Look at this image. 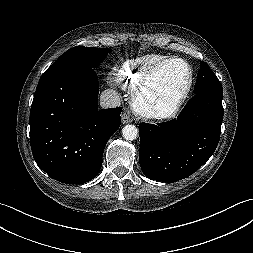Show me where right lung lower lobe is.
Here are the masks:
<instances>
[{
    "label": "right lung lower lobe",
    "mask_w": 253,
    "mask_h": 253,
    "mask_svg": "<svg viewBox=\"0 0 253 253\" xmlns=\"http://www.w3.org/2000/svg\"><path fill=\"white\" fill-rule=\"evenodd\" d=\"M95 72L70 70L40 79L30 112V143L37 165L67 184L92 180L100 171L122 108L98 109Z\"/></svg>",
    "instance_id": "98d812e1"
}]
</instances>
